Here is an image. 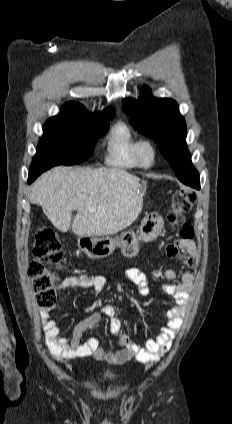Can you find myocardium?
Returning <instances> with one entry per match:
<instances>
[{
	"instance_id": "1",
	"label": "myocardium",
	"mask_w": 232,
	"mask_h": 424,
	"mask_svg": "<svg viewBox=\"0 0 232 424\" xmlns=\"http://www.w3.org/2000/svg\"><path fill=\"white\" fill-rule=\"evenodd\" d=\"M147 150L149 153L148 160L144 158V151ZM136 158L141 167L148 168L151 167L156 159V148L152 141L150 140H141L136 149Z\"/></svg>"
}]
</instances>
